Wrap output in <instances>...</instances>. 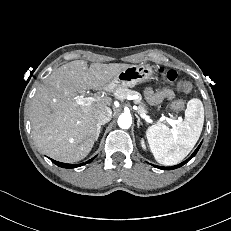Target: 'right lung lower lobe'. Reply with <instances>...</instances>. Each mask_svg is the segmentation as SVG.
Instances as JSON below:
<instances>
[{"label": "right lung lower lobe", "instance_id": "obj_1", "mask_svg": "<svg viewBox=\"0 0 231 231\" xmlns=\"http://www.w3.org/2000/svg\"><path fill=\"white\" fill-rule=\"evenodd\" d=\"M92 160H93V159H90V160H88L87 162L82 163V164H66V163L57 162V161L51 159V161H52L53 163H55L57 166L62 167V168H76V167H80V166H82L83 164L90 163Z\"/></svg>", "mask_w": 231, "mask_h": 231}]
</instances>
